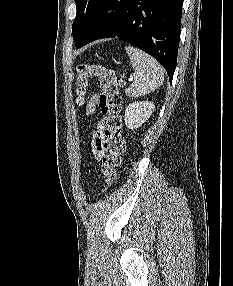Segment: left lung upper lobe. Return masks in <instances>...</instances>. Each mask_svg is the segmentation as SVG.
Instances as JSON below:
<instances>
[{"instance_id":"5c2ea615","label":"left lung upper lobe","mask_w":233,"mask_h":286,"mask_svg":"<svg viewBox=\"0 0 233 286\" xmlns=\"http://www.w3.org/2000/svg\"><path fill=\"white\" fill-rule=\"evenodd\" d=\"M101 0H75L77 14L72 26V35L76 41L94 14Z\"/></svg>"}]
</instances>
